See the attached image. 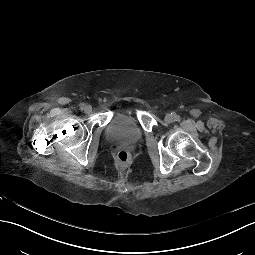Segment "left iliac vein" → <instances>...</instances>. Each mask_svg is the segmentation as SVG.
Wrapping results in <instances>:
<instances>
[{
  "mask_svg": "<svg viewBox=\"0 0 255 255\" xmlns=\"http://www.w3.org/2000/svg\"><path fill=\"white\" fill-rule=\"evenodd\" d=\"M173 119H174V117H173L172 114H167V115L165 116V118H164L165 122H167V123H172V122H173Z\"/></svg>",
  "mask_w": 255,
  "mask_h": 255,
  "instance_id": "left-iliac-vein-1",
  "label": "left iliac vein"
}]
</instances>
